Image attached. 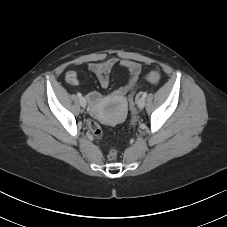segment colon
I'll list each match as a JSON object with an SVG mask.
<instances>
[{
	"instance_id": "1",
	"label": "colon",
	"mask_w": 227,
	"mask_h": 227,
	"mask_svg": "<svg viewBox=\"0 0 227 227\" xmlns=\"http://www.w3.org/2000/svg\"><path fill=\"white\" fill-rule=\"evenodd\" d=\"M146 79L152 84H158L160 81V74L157 71H151L147 74ZM129 101L131 104V111H132L131 127L133 128V126L136 124L137 119H138L136 110L134 108V94H132L130 96ZM88 127H89V130L91 131V133L95 137L100 138L102 136V128L97 121L90 120L88 122ZM107 157L110 161L115 160L117 157L116 149L111 148L108 152Z\"/></svg>"
}]
</instances>
